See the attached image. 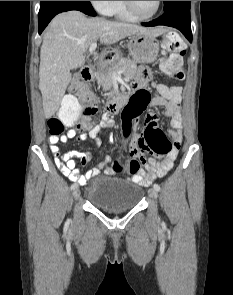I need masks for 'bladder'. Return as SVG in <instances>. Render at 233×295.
Masks as SVG:
<instances>
[{"instance_id":"1","label":"bladder","mask_w":233,"mask_h":295,"mask_svg":"<svg viewBox=\"0 0 233 295\" xmlns=\"http://www.w3.org/2000/svg\"><path fill=\"white\" fill-rule=\"evenodd\" d=\"M144 195L143 189L128 180L98 177L86 184L85 197L101 209L111 212L135 208Z\"/></svg>"}]
</instances>
